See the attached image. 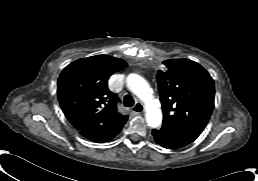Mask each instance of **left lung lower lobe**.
I'll use <instances>...</instances> for the list:
<instances>
[{
  "mask_svg": "<svg viewBox=\"0 0 258 181\" xmlns=\"http://www.w3.org/2000/svg\"><path fill=\"white\" fill-rule=\"evenodd\" d=\"M156 143L167 149H177L193 142L199 135L178 127L163 125L152 131Z\"/></svg>",
  "mask_w": 258,
  "mask_h": 181,
  "instance_id": "left-lung-lower-lobe-1",
  "label": "left lung lower lobe"
}]
</instances>
